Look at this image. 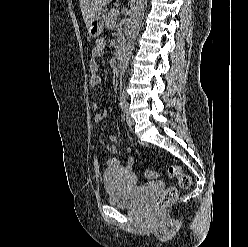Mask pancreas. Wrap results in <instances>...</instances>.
Instances as JSON below:
<instances>
[{
  "label": "pancreas",
  "instance_id": "pancreas-1",
  "mask_svg": "<svg viewBox=\"0 0 248 247\" xmlns=\"http://www.w3.org/2000/svg\"><path fill=\"white\" fill-rule=\"evenodd\" d=\"M117 15L118 12L116 9H112L104 15V21L107 29L115 28Z\"/></svg>",
  "mask_w": 248,
  "mask_h": 247
}]
</instances>
